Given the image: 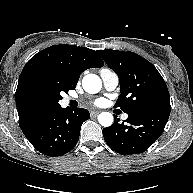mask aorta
I'll return each mask as SVG.
<instances>
[{
  "instance_id": "aorta-1",
  "label": "aorta",
  "mask_w": 193,
  "mask_h": 193,
  "mask_svg": "<svg viewBox=\"0 0 193 193\" xmlns=\"http://www.w3.org/2000/svg\"><path fill=\"white\" fill-rule=\"evenodd\" d=\"M82 87L87 93L96 94L102 88V81L95 74H87L82 79ZM98 122L104 127H109L113 124V115L109 112H102L98 116Z\"/></svg>"
}]
</instances>
